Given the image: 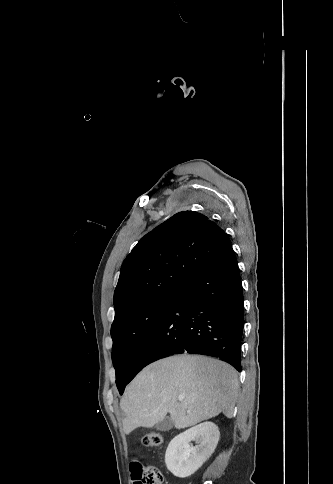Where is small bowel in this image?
<instances>
[{
    "label": "small bowel",
    "mask_w": 333,
    "mask_h": 484,
    "mask_svg": "<svg viewBox=\"0 0 333 484\" xmlns=\"http://www.w3.org/2000/svg\"><path fill=\"white\" fill-rule=\"evenodd\" d=\"M142 466V462L139 458H133L130 462V470L132 473V479L134 484H137L139 471Z\"/></svg>",
    "instance_id": "small-bowel-1"
}]
</instances>
